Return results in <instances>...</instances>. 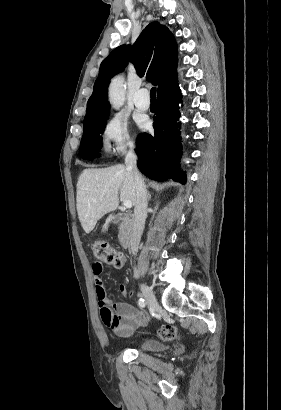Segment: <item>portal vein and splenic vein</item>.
Returning a JSON list of instances; mask_svg holds the SVG:
<instances>
[{"instance_id": "1", "label": "portal vein and splenic vein", "mask_w": 281, "mask_h": 410, "mask_svg": "<svg viewBox=\"0 0 281 410\" xmlns=\"http://www.w3.org/2000/svg\"><path fill=\"white\" fill-rule=\"evenodd\" d=\"M123 206H124V209L131 208L132 207V202L129 201V200H125V201H123Z\"/></svg>"}]
</instances>
